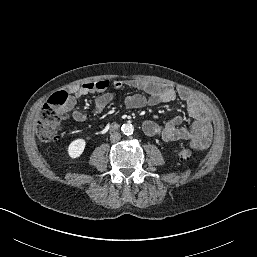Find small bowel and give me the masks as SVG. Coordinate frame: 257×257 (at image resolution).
<instances>
[{
    "label": "small bowel",
    "instance_id": "small-bowel-1",
    "mask_svg": "<svg viewBox=\"0 0 257 257\" xmlns=\"http://www.w3.org/2000/svg\"><path fill=\"white\" fill-rule=\"evenodd\" d=\"M124 85L144 93L127 95L124 98L126 108L137 109L145 106H155L160 103L174 101L179 96L185 103L189 116L193 119L192 124L189 126H182L181 116H175L164 124L147 120L143 124V130L146 135L161 138L166 142L187 140L191 145L200 142L206 146L210 142L212 127L208 112L203 104L186 91L180 90L177 92L169 85L149 80H129L125 83L121 81L110 82L108 80H99L81 85H73L69 88L71 95L68 103V111L72 112V118L75 121L84 122L87 119V115L76 108L77 98L98 93L99 95L94 100L92 109L94 111H101L114 99V94L107 92V89L110 86L114 89H120Z\"/></svg>",
    "mask_w": 257,
    "mask_h": 257
}]
</instances>
